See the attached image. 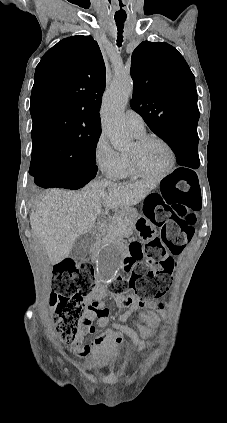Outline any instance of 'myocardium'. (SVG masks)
<instances>
[{
  "label": "myocardium",
  "mask_w": 227,
  "mask_h": 423,
  "mask_svg": "<svg viewBox=\"0 0 227 423\" xmlns=\"http://www.w3.org/2000/svg\"><path fill=\"white\" fill-rule=\"evenodd\" d=\"M154 141L160 143L167 150L169 154L168 165L159 174H151L144 171L141 168L139 164V160H138L139 150ZM128 157H129L132 173L137 177H140L149 181H159L168 177L174 171L176 163H177V156L171 144L163 137H160L155 134L144 135L143 137L138 138L134 143V150L129 152Z\"/></svg>",
  "instance_id": "f54148a6"
}]
</instances>
